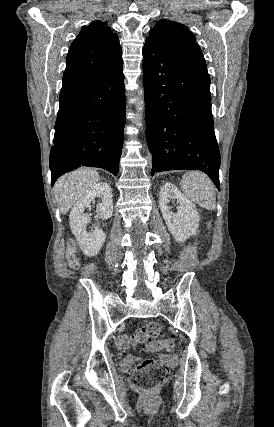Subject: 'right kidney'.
<instances>
[{
	"label": "right kidney",
	"mask_w": 274,
	"mask_h": 427,
	"mask_svg": "<svg viewBox=\"0 0 274 427\" xmlns=\"http://www.w3.org/2000/svg\"><path fill=\"white\" fill-rule=\"evenodd\" d=\"M95 198L101 200V204H97L98 214L96 217H101V219L111 217L113 214V196L111 188L106 182L94 184V186H90L88 192L81 194L80 200L74 204L69 215L72 233L78 239L79 247L85 255H97L106 239V233L103 229H99V225H96L94 231H90V233L85 227L90 215L84 214V210L90 208V204L94 202Z\"/></svg>",
	"instance_id": "ca27d5eb"
}]
</instances>
